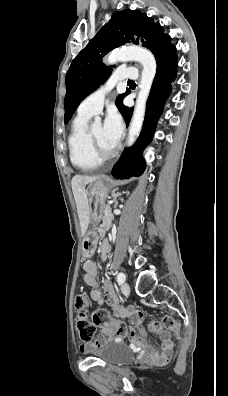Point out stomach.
I'll list each match as a JSON object with an SVG mask.
<instances>
[{"instance_id": "obj_1", "label": "stomach", "mask_w": 228, "mask_h": 396, "mask_svg": "<svg viewBox=\"0 0 228 396\" xmlns=\"http://www.w3.org/2000/svg\"><path fill=\"white\" fill-rule=\"evenodd\" d=\"M111 188L112 185L106 177L98 178L89 186L88 201L92 223H99L106 215H110L106 212L109 207L105 202ZM98 240L99 236L95 228L89 229L83 236L81 253L84 259L90 258L95 253Z\"/></svg>"}]
</instances>
